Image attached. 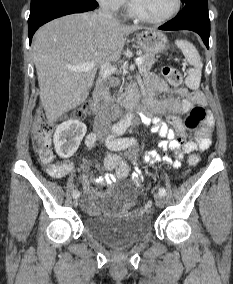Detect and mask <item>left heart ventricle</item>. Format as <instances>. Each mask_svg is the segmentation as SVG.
I'll return each instance as SVG.
<instances>
[{
	"mask_svg": "<svg viewBox=\"0 0 233 284\" xmlns=\"http://www.w3.org/2000/svg\"><path fill=\"white\" fill-rule=\"evenodd\" d=\"M136 9L145 16L159 18L173 7L174 0H133Z\"/></svg>",
	"mask_w": 233,
	"mask_h": 284,
	"instance_id": "left-heart-ventricle-1",
	"label": "left heart ventricle"
}]
</instances>
